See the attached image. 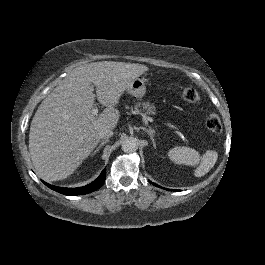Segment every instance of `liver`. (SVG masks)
<instances>
[{
  "label": "liver",
  "instance_id": "liver-1",
  "mask_svg": "<svg viewBox=\"0 0 265 265\" xmlns=\"http://www.w3.org/2000/svg\"><path fill=\"white\" fill-rule=\"evenodd\" d=\"M147 69L143 64L100 61L76 67L60 81L31 121L29 152L38 175L47 180L67 177L95 148L100 129L115 127L119 111L113 105L127 83ZM95 96L106 106L99 117L91 113Z\"/></svg>",
  "mask_w": 265,
  "mask_h": 265
}]
</instances>
